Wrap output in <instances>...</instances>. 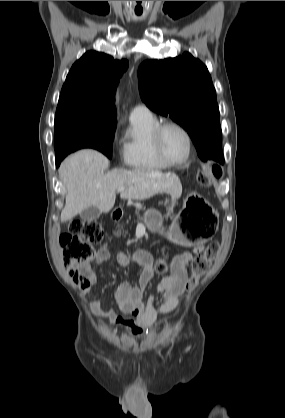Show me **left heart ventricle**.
<instances>
[{"instance_id": "left-heart-ventricle-1", "label": "left heart ventricle", "mask_w": 285, "mask_h": 418, "mask_svg": "<svg viewBox=\"0 0 285 418\" xmlns=\"http://www.w3.org/2000/svg\"><path fill=\"white\" fill-rule=\"evenodd\" d=\"M166 156L174 162L183 160L187 153V141L183 133L174 127L165 129L161 138Z\"/></svg>"}]
</instances>
